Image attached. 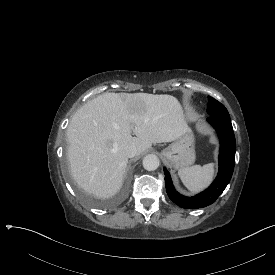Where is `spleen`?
<instances>
[{
    "label": "spleen",
    "mask_w": 275,
    "mask_h": 275,
    "mask_svg": "<svg viewBox=\"0 0 275 275\" xmlns=\"http://www.w3.org/2000/svg\"><path fill=\"white\" fill-rule=\"evenodd\" d=\"M216 163L212 162L202 167L193 166L178 171L183 185L193 194L207 189L214 180Z\"/></svg>",
    "instance_id": "3e777b00"
}]
</instances>
